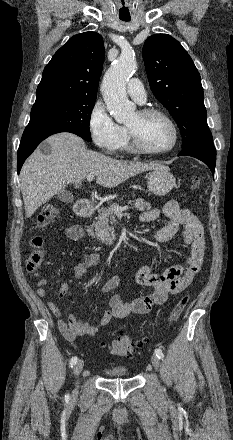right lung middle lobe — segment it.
<instances>
[{
  "label": "right lung middle lobe",
  "instance_id": "obj_1",
  "mask_svg": "<svg viewBox=\"0 0 233 440\" xmlns=\"http://www.w3.org/2000/svg\"><path fill=\"white\" fill-rule=\"evenodd\" d=\"M96 99L57 97L33 105L28 128L64 129L91 142L89 123Z\"/></svg>",
  "mask_w": 233,
  "mask_h": 440
}]
</instances>
